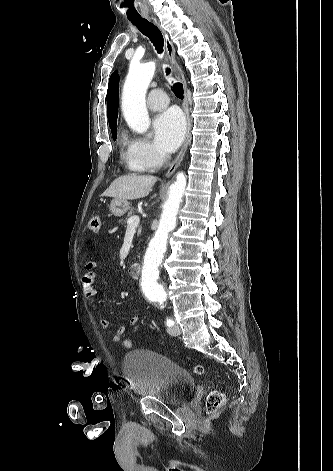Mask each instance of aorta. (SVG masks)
<instances>
[{"label":"aorta","mask_w":333,"mask_h":471,"mask_svg":"<svg viewBox=\"0 0 333 471\" xmlns=\"http://www.w3.org/2000/svg\"><path fill=\"white\" fill-rule=\"evenodd\" d=\"M155 69L154 62L132 65L123 87V115L131 130L137 133L146 132L150 125L145 97ZM185 187L186 177L183 172H180L169 188L168 198L163 207L158 229L151 239L144 256L142 284L145 286L146 294L160 304L166 301L167 292L159 282L158 270L166 251L168 235L176 226V215Z\"/></svg>","instance_id":"obj_1"}]
</instances>
